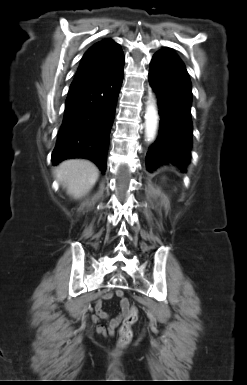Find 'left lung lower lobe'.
Wrapping results in <instances>:
<instances>
[{"mask_svg": "<svg viewBox=\"0 0 247 385\" xmlns=\"http://www.w3.org/2000/svg\"><path fill=\"white\" fill-rule=\"evenodd\" d=\"M149 83L157 94L161 120L158 138L146 155L147 168L169 162L189 164L192 91L185 65L172 50L162 49L150 63Z\"/></svg>", "mask_w": 247, "mask_h": 385, "instance_id": "left-lung-lower-lobe-1", "label": "left lung lower lobe"}]
</instances>
